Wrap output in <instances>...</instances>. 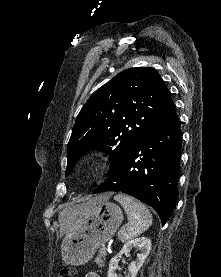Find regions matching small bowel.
I'll return each instance as SVG.
<instances>
[{
    "mask_svg": "<svg viewBox=\"0 0 221 277\" xmlns=\"http://www.w3.org/2000/svg\"><path fill=\"white\" fill-rule=\"evenodd\" d=\"M85 277H100V276L95 272H89L85 275Z\"/></svg>",
    "mask_w": 221,
    "mask_h": 277,
    "instance_id": "obj_1",
    "label": "small bowel"
}]
</instances>
